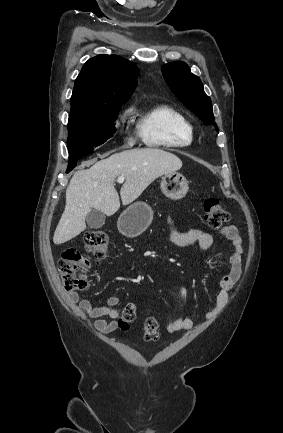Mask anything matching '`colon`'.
Returning <instances> with one entry per match:
<instances>
[{
	"instance_id": "obj_1",
	"label": "colon",
	"mask_w": 283,
	"mask_h": 433,
	"mask_svg": "<svg viewBox=\"0 0 283 433\" xmlns=\"http://www.w3.org/2000/svg\"><path fill=\"white\" fill-rule=\"evenodd\" d=\"M204 218L211 228H219L230 219L228 211L216 199H209L204 203ZM84 245L96 261H102L109 253V236L105 231H91L84 238ZM64 288L68 292L82 291L87 287L86 272L89 261L75 249L63 252L58 263ZM137 308L134 303H128L122 310L118 323L122 331H127L136 318ZM144 339L155 342L159 338V323L156 318L149 317L144 323Z\"/></svg>"
}]
</instances>
